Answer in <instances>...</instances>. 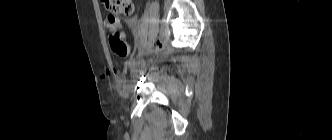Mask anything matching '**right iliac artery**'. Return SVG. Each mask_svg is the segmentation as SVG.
I'll list each match as a JSON object with an SVG mask.
<instances>
[{"instance_id":"right-iliac-artery-1","label":"right iliac artery","mask_w":332,"mask_h":140,"mask_svg":"<svg viewBox=\"0 0 332 140\" xmlns=\"http://www.w3.org/2000/svg\"><path fill=\"white\" fill-rule=\"evenodd\" d=\"M134 64H135V59H131V60L128 61V65H129L130 67H133Z\"/></svg>"}]
</instances>
